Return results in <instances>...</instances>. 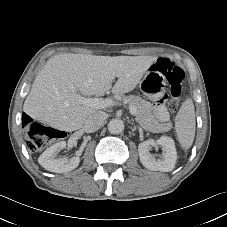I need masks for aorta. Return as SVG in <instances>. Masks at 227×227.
I'll list each match as a JSON object with an SVG mask.
<instances>
[{"mask_svg": "<svg viewBox=\"0 0 227 227\" xmlns=\"http://www.w3.org/2000/svg\"><path fill=\"white\" fill-rule=\"evenodd\" d=\"M124 122L121 119L115 118L109 121L108 131L112 134H119L124 130Z\"/></svg>", "mask_w": 227, "mask_h": 227, "instance_id": "aorta-1", "label": "aorta"}]
</instances>
